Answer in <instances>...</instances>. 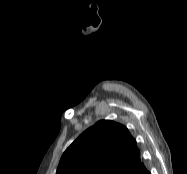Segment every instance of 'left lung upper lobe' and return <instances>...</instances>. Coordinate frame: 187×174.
Listing matches in <instances>:
<instances>
[{"label": "left lung upper lobe", "instance_id": "left-lung-upper-lobe-1", "mask_svg": "<svg viewBox=\"0 0 187 174\" xmlns=\"http://www.w3.org/2000/svg\"><path fill=\"white\" fill-rule=\"evenodd\" d=\"M144 168L128 129L101 120L66 149L56 174H136Z\"/></svg>", "mask_w": 187, "mask_h": 174}]
</instances>
